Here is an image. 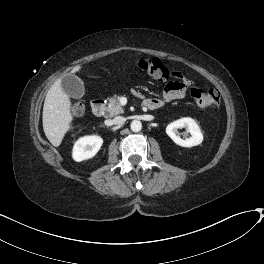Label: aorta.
I'll return each instance as SVG.
<instances>
[{"label": "aorta", "instance_id": "1", "mask_svg": "<svg viewBox=\"0 0 264 264\" xmlns=\"http://www.w3.org/2000/svg\"><path fill=\"white\" fill-rule=\"evenodd\" d=\"M130 128L133 132H139L142 129V123L139 120H133L130 124Z\"/></svg>", "mask_w": 264, "mask_h": 264}]
</instances>
